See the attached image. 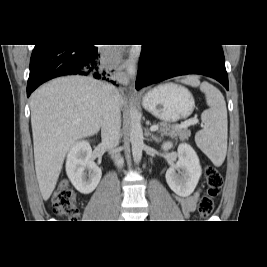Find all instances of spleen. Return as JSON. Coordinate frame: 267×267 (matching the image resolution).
Instances as JSON below:
<instances>
[{
    "mask_svg": "<svg viewBox=\"0 0 267 267\" xmlns=\"http://www.w3.org/2000/svg\"><path fill=\"white\" fill-rule=\"evenodd\" d=\"M181 82L199 86L205 94L209 109L201 114L204 127L196 133L195 142L215 166H221L227 152V109L224 97L216 87L208 82L200 83L196 77H187Z\"/></svg>",
    "mask_w": 267,
    "mask_h": 267,
    "instance_id": "1",
    "label": "spleen"
}]
</instances>
